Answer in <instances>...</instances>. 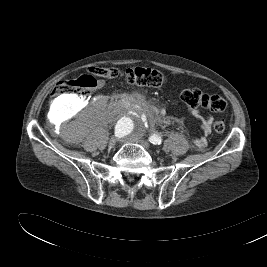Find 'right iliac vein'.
<instances>
[{
	"label": "right iliac vein",
	"mask_w": 267,
	"mask_h": 267,
	"mask_svg": "<svg viewBox=\"0 0 267 267\" xmlns=\"http://www.w3.org/2000/svg\"><path fill=\"white\" fill-rule=\"evenodd\" d=\"M118 139L116 137H112L109 141V147H114L117 143Z\"/></svg>",
	"instance_id": "right-iliac-vein-1"
}]
</instances>
